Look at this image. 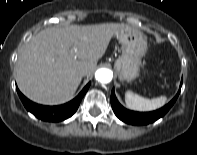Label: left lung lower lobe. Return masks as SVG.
I'll list each match as a JSON object with an SVG mask.
<instances>
[{
  "instance_id": "0a47b994",
  "label": "left lung lower lobe",
  "mask_w": 197,
  "mask_h": 155,
  "mask_svg": "<svg viewBox=\"0 0 197 155\" xmlns=\"http://www.w3.org/2000/svg\"><path fill=\"white\" fill-rule=\"evenodd\" d=\"M181 86H182V81L177 95L167 105L156 111L135 112L125 109L116 99L114 89L112 90L111 93V106L115 115L123 122L132 125H146L163 117L169 111V109L173 106V104L175 103L176 99L179 96Z\"/></svg>"
}]
</instances>
